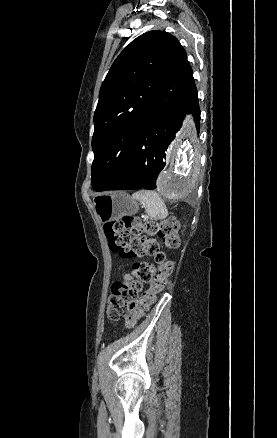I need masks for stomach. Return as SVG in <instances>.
I'll list each match as a JSON object with an SVG mask.
<instances>
[{
  "label": "stomach",
  "mask_w": 277,
  "mask_h": 438,
  "mask_svg": "<svg viewBox=\"0 0 277 438\" xmlns=\"http://www.w3.org/2000/svg\"><path fill=\"white\" fill-rule=\"evenodd\" d=\"M93 205L101 222L116 221L124 216H132L138 211V203L124 192H109L97 195Z\"/></svg>",
  "instance_id": "1"
}]
</instances>
